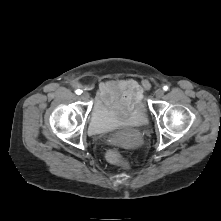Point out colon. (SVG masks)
<instances>
[{
  "mask_svg": "<svg viewBox=\"0 0 221 221\" xmlns=\"http://www.w3.org/2000/svg\"><path fill=\"white\" fill-rule=\"evenodd\" d=\"M107 158L110 162L121 165L124 168L129 167L127 161L121 156L120 152L117 149H112L108 151Z\"/></svg>",
  "mask_w": 221,
  "mask_h": 221,
  "instance_id": "1",
  "label": "colon"
}]
</instances>
